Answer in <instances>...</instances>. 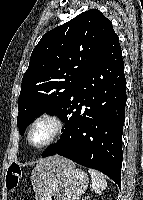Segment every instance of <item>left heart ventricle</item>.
<instances>
[{"instance_id":"left-heart-ventricle-1","label":"left heart ventricle","mask_w":143,"mask_h":200,"mask_svg":"<svg viewBox=\"0 0 143 200\" xmlns=\"http://www.w3.org/2000/svg\"><path fill=\"white\" fill-rule=\"evenodd\" d=\"M53 132V125L49 122L39 123L32 131L31 143L39 145L45 142Z\"/></svg>"}]
</instances>
